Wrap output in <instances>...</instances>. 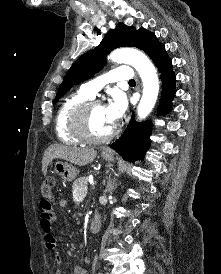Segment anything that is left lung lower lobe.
<instances>
[{
	"mask_svg": "<svg viewBox=\"0 0 221 274\" xmlns=\"http://www.w3.org/2000/svg\"><path fill=\"white\" fill-rule=\"evenodd\" d=\"M155 63L162 80V96L158 113H166L171 110V101L175 96V75L172 70L171 59L167 55L163 45L158 47L150 55ZM151 135V123L149 121L138 123L132 115V119L128 124L123 135L110 145L125 160L135 161L141 160L145 156L146 150L149 148Z\"/></svg>",
	"mask_w": 221,
	"mask_h": 274,
	"instance_id": "1",
	"label": "left lung lower lobe"
}]
</instances>
